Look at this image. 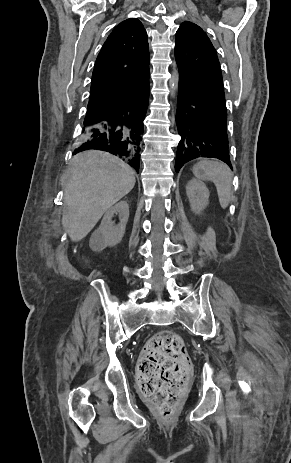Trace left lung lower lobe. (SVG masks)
I'll return each instance as SVG.
<instances>
[{"instance_id": "obj_1", "label": "left lung lower lobe", "mask_w": 291, "mask_h": 463, "mask_svg": "<svg viewBox=\"0 0 291 463\" xmlns=\"http://www.w3.org/2000/svg\"><path fill=\"white\" fill-rule=\"evenodd\" d=\"M176 124L181 137L176 172L188 161L200 157L217 158L232 169L224 100L179 79Z\"/></svg>"}]
</instances>
